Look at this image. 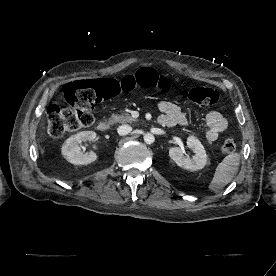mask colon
<instances>
[{"label": "colon", "mask_w": 276, "mask_h": 276, "mask_svg": "<svg viewBox=\"0 0 276 276\" xmlns=\"http://www.w3.org/2000/svg\"><path fill=\"white\" fill-rule=\"evenodd\" d=\"M136 86L143 88L168 91L170 81L159 76L150 68H142L135 77L125 76L120 81L106 80H76L69 83L64 89L65 107L51 105L46 113L48 132L52 137H61L66 133L91 126L94 123L93 111L98 103L116 96L120 92H127ZM186 99L201 108L214 106L218 99V92L209 87L184 89L180 93ZM225 154L236 150L233 138H227L221 145Z\"/></svg>", "instance_id": "1"}]
</instances>
